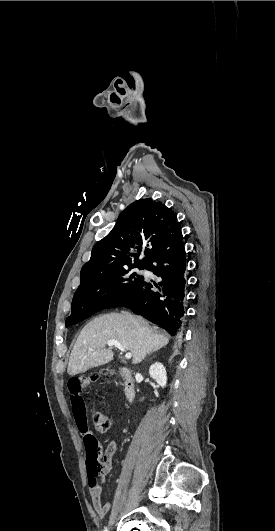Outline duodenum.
I'll list each match as a JSON object with an SVG mask.
<instances>
[{
    "mask_svg": "<svg viewBox=\"0 0 275 531\" xmlns=\"http://www.w3.org/2000/svg\"><path fill=\"white\" fill-rule=\"evenodd\" d=\"M118 372L123 380L125 398L131 403L136 394V383L133 370L128 366H123L118 369Z\"/></svg>",
    "mask_w": 275,
    "mask_h": 531,
    "instance_id": "obj_1",
    "label": "duodenum"
}]
</instances>
